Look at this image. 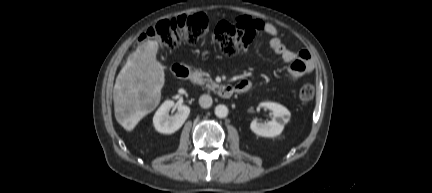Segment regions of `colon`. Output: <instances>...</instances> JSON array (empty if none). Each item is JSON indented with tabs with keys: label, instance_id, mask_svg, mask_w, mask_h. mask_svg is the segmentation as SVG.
<instances>
[{
	"label": "colon",
	"instance_id": "1",
	"mask_svg": "<svg viewBox=\"0 0 432 193\" xmlns=\"http://www.w3.org/2000/svg\"><path fill=\"white\" fill-rule=\"evenodd\" d=\"M208 19L202 13L182 15L177 18L162 20L149 27L140 40L154 39L161 46L174 49L181 44H195L206 33ZM254 34L252 29L242 22L230 23L222 21L214 29L213 37L221 52L233 56L243 51L251 42ZM315 88L312 84H304L299 91L302 101L313 99Z\"/></svg>",
	"mask_w": 432,
	"mask_h": 193
}]
</instances>
